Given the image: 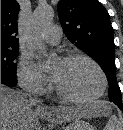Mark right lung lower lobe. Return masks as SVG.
Returning <instances> with one entry per match:
<instances>
[{"mask_svg":"<svg viewBox=\"0 0 123 130\" xmlns=\"http://www.w3.org/2000/svg\"><path fill=\"white\" fill-rule=\"evenodd\" d=\"M1 83L12 87L16 85V80H11L6 77H1Z\"/></svg>","mask_w":123,"mask_h":130,"instance_id":"98d812e1","label":"right lung lower lobe"}]
</instances>
